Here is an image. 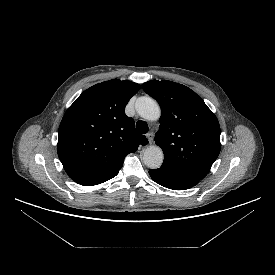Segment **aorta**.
<instances>
[{
  "label": "aorta",
  "instance_id": "762f6f07",
  "mask_svg": "<svg viewBox=\"0 0 275 275\" xmlns=\"http://www.w3.org/2000/svg\"><path fill=\"white\" fill-rule=\"evenodd\" d=\"M135 108L137 113L144 119L154 121L160 117L158 103L150 97H140L136 100ZM164 154L159 146L152 145L145 149L143 154L144 164L151 169L160 168L163 163Z\"/></svg>",
  "mask_w": 275,
  "mask_h": 275
}]
</instances>
